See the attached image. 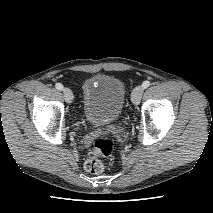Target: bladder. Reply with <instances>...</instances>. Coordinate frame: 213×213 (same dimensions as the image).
<instances>
[{"label": "bladder", "mask_w": 213, "mask_h": 213, "mask_svg": "<svg viewBox=\"0 0 213 213\" xmlns=\"http://www.w3.org/2000/svg\"><path fill=\"white\" fill-rule=\"evenodd\" d=\"M126 90L117 77L97 74L82 85V109L86 119L97 126L116 122L122 112Z\"/></svg>", "instance_id": "1"}]
</instances>
